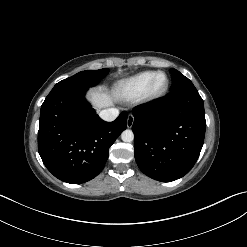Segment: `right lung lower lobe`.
Returning a JSON list of instances; mask_svg holds the SVG:
<instances>
[{"label":"right lung lower lobe","instance_id":"98d812e1","mask_svg":"<svg viewBox=\"0 0 247 247\" xmlns=\"http://www.w3.org/2000/svg\"><path fill=\"white\" fill-rule=\"evenodd\" d=\"M85 87L52 89L41 106L38 151L58 179L81 184L96 177L108 150L123 130L128 114L104 122L85 100Z\"/></svg>","mask_w":247,"mask_h":247}]
</instances>
